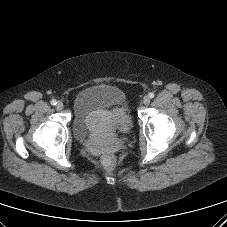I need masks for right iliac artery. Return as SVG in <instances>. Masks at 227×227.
<instances>
[{"instance_id":"obj_1","label":"right iliac artery","mask_w":227,"mask_h":227,"mask_svg":"<svg viewBox=\"0 0 227 227\" xmlns=\"http://www.w3.org/2000/svg\"><path fill=\"white\" fill-rule=\"evenodd\" d=\"M51 104L52 105H56L57 104V101L55 99L51 100Z\"/></svg>"}]
</instances>
